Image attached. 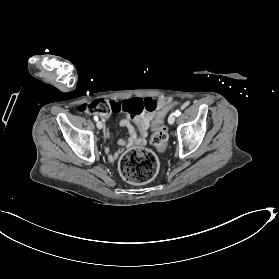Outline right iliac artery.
I'll return each mask as SVG.
<instances>
[{
    "label": "right iliac artery",
    "instance_id": "right-iliac-artery-1",
    "mask_svg": "<svg viewBox=\"0 0 279 279\" xmlns=\"http://www.w3.org/2000/svg\"><path fill=\"white\" fill-rule=\"evenodd\" d=\"M94 120H96V121H97V120H98V117H97V116H94Z\"/></svg>",
    "mask_w": 279,
    "mask_h": 279
}]
</instances>
